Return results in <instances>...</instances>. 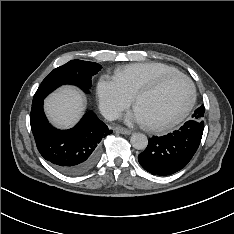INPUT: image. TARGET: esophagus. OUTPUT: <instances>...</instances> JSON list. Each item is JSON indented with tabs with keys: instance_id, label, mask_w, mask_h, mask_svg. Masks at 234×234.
Returning <instances> with one entry per match:
<instances>
[{
	"instance_id": "1",
	"label": "esophagus",
	"mask_w": 234,
	"mask_h": 234,
	"mask_svg": "<svg viewBox=\"0 0 234 234\" xmlns=\"http://www.w3.org/2000/svg\"><path fill=\"white\" fill-rule=\"evenodd\" d=\"M115 130H116L117 132L121 133V134H131V130L126 129V128L121 127V126H117V127L115 128Z\"/></svg>"
}]
</instances>
